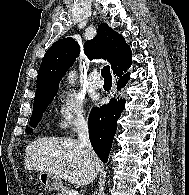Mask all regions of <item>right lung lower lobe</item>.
Segmentation results:
<instances>
[{"label": "right lung lower lobe", "instance_id": "1", "mask_svg": "<svg viewBox=\"0 0 189 195\" xmlns=\"http://www.w3.org/2000/svg\"><path fill=\"white\" fill-rule=\"evenodd\" d=\"M130 79V73L119 77L117 90L123 88ZM125 106V100L114 97L101 107H94L89 115V138L92 147L103 162L108 161L113 138L117 129V120Z\"/></svg>", "mask_w": 189, "mask_h": 195}]
</instances>
